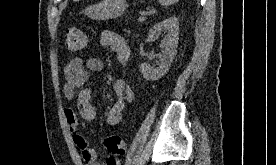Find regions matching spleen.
<instances>
[{
    "instance_id": "3e777b00",
    "label": "spleen",
    "mask_w": 276,
    "mask_h": 165,
    "mask_svg": "<svg viewBox=\"0 0 276 165\" xmlns=\"http://www.w3.org/2000/svg\"><path fill=\"white\" fill-rule=\"evenodd\" d=\"M158 1L162 5L168 6V5H172V4L176 3V2H178L179 0H158Z\"/></svg>"
}]
</instances>
